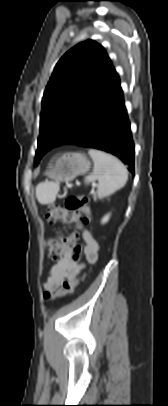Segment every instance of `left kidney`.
<instances>
[{"mask_svg": "<svg viewBox=\"0 0 168 406\" xmlns=\"http://www.w3.org/2000/svg\"><path fill=\"white\" fill-rule=\"evenodd\" d=\"M109 218H110V214L104 216L103 219H102V223L103 224L106 223L109 220Z\"/></svg>", "mask_w": 168, "mask_h": 406, "instance_id": "obj_1", "label": "left kidney"}]
</instances>
